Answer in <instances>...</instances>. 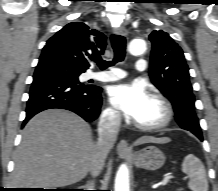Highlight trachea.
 Listing matches in <instances>:
<instances>
[{
  "instance_id": "obj_1",
  "label": "trachea",
  "mask_w": 218,
  "mask_h": 191,
  "mask_svg": "<svg viewBox=\"0 0 218 191\" xmlns=\"http://www.w3.org/2000/svg\"><path fill=\"white\" fill-rule=\"evenodd\" d=\"M111 44L114 50V59L113 61H105L102 58L98 57L95 61L98 64L101 70L108 68L109 66H113L117 62H121L125 58V50H126V39L122 35H111Z\"/></svg>"
}]
</instances>
